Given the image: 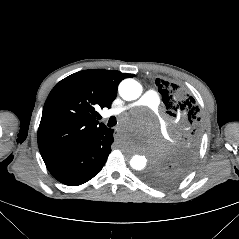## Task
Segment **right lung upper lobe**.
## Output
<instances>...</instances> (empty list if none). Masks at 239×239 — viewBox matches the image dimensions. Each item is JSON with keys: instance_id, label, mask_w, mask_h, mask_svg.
Here are the masks:
<instances>
[{"instance_id": "1", "label": "right lung upper lobe", "mask_w": 239, "mask_h": 239, "mask_svg": "<svg viewBox=\"0 0 239 239\" xmlns=\"http://www.w3.org/2000/svg\"><path fill=\"white\" fill-rule=\"evenodd\" d=\"M134 74L89 69L56 84L44 104L38 128V147L43 160L75 148L106 128L97 125L96 108H110L118 84Z\"/></svg>"}]
</instances>
